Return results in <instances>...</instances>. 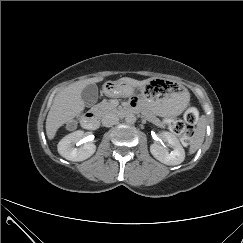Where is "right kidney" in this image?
I'll use <instances>...</instances> for the list:
<instances>
[{
  "label": "right kidney",
  "mask_w": 243,
  "mask_h": 243,
  "mask_svg": "<svg viewBox=\"0 0 243 243\" xmlns=\"http://www.w3.org/2000/svg\"><path fill=\"white\" fill-rule=\"evenodd\" d=\"M84 137V132L80 130L68 134L58 143V153L70 161H83L88 159L95 153L96 146L92 142H85ZM74 143H76L77 147L73 146Z\"/></svg>",
  "instance_id": "ca27d5eb"
}]
</instances>
